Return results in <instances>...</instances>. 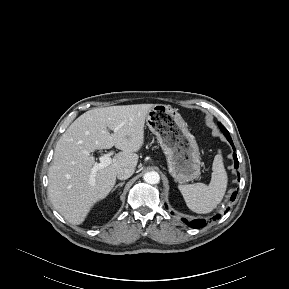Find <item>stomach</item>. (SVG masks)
<instances>
[{
	"label": "stomach",
	"mask_w": 289,
	"mask_h": 289,
	"mask_svg": "<svg viewBox=\"0 0 289 289\" xmlns=\"http://www.w3.org/2000/svg\"><path fill=\"white\" fill-rule=\"evenodd\" d=\"M146 124L156 135L175 181L185 183L197 178L201 165L199 148L178 111L156 104L148 111Z\"/></svg>",
	"instance_id": "1"
}]
</instances>
